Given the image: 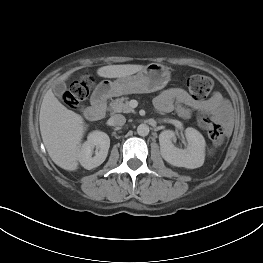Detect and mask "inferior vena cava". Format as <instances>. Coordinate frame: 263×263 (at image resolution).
Listing matches in <instances>:
<instances>
[{
    "mask_svg": "<svg viewBox=\"0 0 263 263\" xmlns=\"http://www.w3.org/2000/svg\"><path fill=\"white\" fill-rule=\"evenodd\" d=\"M113 126H123L126 123V118L121 114H115L109 119Z\"/></svg>",
    "mask_w": 263,
    "mask_h": 263,
    "instance_id": "602c4592",
    "label": "inferior vena cava"
}]
</instances>
